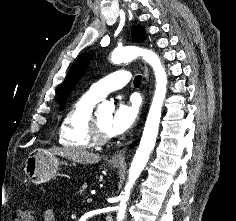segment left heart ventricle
<instances>
[{
  "instance_id": "obj_1",
  "label": "left heart ventricle",
  "mask_w": 236,
  "mask_h": 221,
  "mask_svg": "<svg viewBox=\"0 0 236 221\" xmlns=\"http://www.w3.org/2000/svg\"><path fill=\"white\" fill-rule=\"evenodd\" d=\"M98 123L101 128V130L106 133H108V124L111 119V115L109 113H100L97 115Z\"/></svg>"
}]
</instances>
